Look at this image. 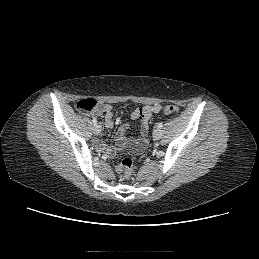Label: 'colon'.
Returning <instances> with one entry per match:
<instances>
[{"label":"colon","instance_id":"1","mask_svg":"<svg viewBox=\"0 0 259 259\" xmlns=\"http://www.w3.org/2000/svg\"><path fill=\"white\" fill-rule=\"evenodd\" d=\"M100 107L99 103L92 99L86 98L80 100L76 108L79 112L82 113H92L95 112ZM143 109V113H144ZM162 112L166 115L177 114L179 112V108L173 105H165L162 107ZM134 170V163L131 158H123L116 166V171L121 175L123 180L128 181L131 179Z\"/></svg>","mask_w":259,"mask_h":259}]
</instances>
